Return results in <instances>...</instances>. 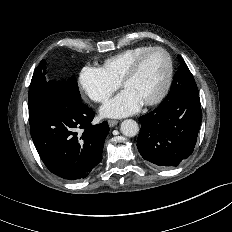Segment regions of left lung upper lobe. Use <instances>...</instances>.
Masks as SVG:
<instances>
[{"instance_id": "1", "label": "left lung upper lobe", "mask_w": 232, "mask_h": 232, "mask_svg": "<svg viewBox=\"0 0 232 232\" xmlns=\"http://www.w3.org/2000/svg\"><path fill=\"white\" fill-rule=\"evenodd\" d=\"M180 62L179 69L174 77V81L171 87V91L181 94H196L198 95V88L196 86L193 75L188 69L184 60L178 56Z\"/></svg>"}]
</instances>
